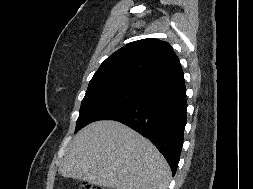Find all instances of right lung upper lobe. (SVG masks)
Wrapping results in <instances>:
<instances>
[{
    "mask_svg": "<svg viewBox=\"0 0 253 189\" xmlns=\"http://www.w3.org/2000/svg\"><path fill=\"white\" fill-rule=\"evenodd\" d=\"M184 80L173 48L158 39L129 43L108 57L89 82L88 90L128 86L146 91Z\"/></svg>",
    "mask_w": 253,
    "mask_h": 189,
    "instance_id": "cb5924a9",
    "label": "right lung upper lobe"
}]
</instances>
